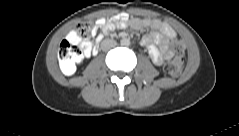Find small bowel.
<instances>
[{
    "label": "small bowel",
    "mask_w": 239,
    "mask_h": 136,
    "mask_svg": "<svg viewBox=\"0 0 239 136\" xmlns=\"http://www.w3.org/2000/svg\"><path fill=\"white\" fill-rule=\"evenodd\" d=\"M97 26L104 33H110L116 28L127 27H132L135 30L150 29L152 32L142 38L141 44L146 48L152 62L157 66H161L173 55L169 43L176 38L177 34L169 24L158 19H129L121 16L117 21L113 22L101 18L97 20ZM96 32L97 30H95L94 34ZM68 39L80 46L84 57H89L93 53V43L89 40H79L74 31L68 34Z\"/></svg>",
    "instance_id": "1"
}]
</instances>
